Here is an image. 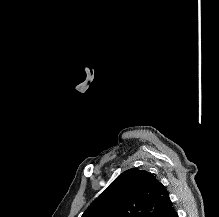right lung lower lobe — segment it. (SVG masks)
<instances>
[{"label": "right lung lower lobe", "mask_w": 219, "mask_h": 217, "mask_svg": "<svg viewBox=\"0 0 219 217\" xmlns=\"http://www.w3.org/2000/svg\"><path fill=\"white\" fill-rule=\"evenodd\" d=\"M166 217H178L176 211L174 208H172V210L168 213V215Z\"/></svg>", "instance_id": "98d812e1"}]
</instances>
